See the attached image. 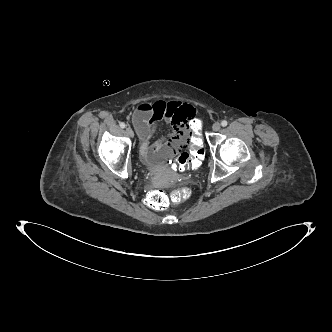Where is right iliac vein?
<instances>
[{
  "instance_id": "obj_1",
  "label": "right iliac vein",
  "mask_w": 332,
  "mask_h": 332,
  "mask_svg": "<svg viewBox=\"0 0 332 332\" xmlns=\"http://www.w3.org/2000/svg\"><path fill=\"white\" fill-rule=\"evenodd\" d=\"M126 134L129 136V137H133L134 136V132L132 130L131 127H127L126 128Z\"/></svg>"
}]
</instances>
